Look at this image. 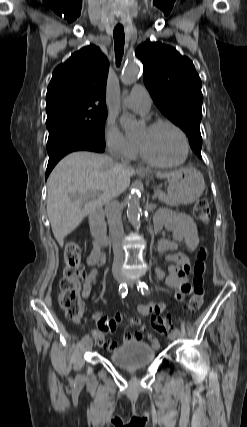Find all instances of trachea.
Returning <instances> with one entry per match:
<instances>
[{
  "label": "trachea",
  "mask_w": 247,
  "mask_h": 427,
  "mask_svg": "<svg viewBox=\"0 0 247 427\" xmlns=\"http://www.w3.org/2000/svg\"><path fill=\"white\" fill-rule=\"evenodd\" d=\"M114 43H115V54L117 64L120 63L123 52H124V42H125V34L123 26H116L114 28Z\"/></svg>",
  "instance_id": "trachea-1"
}]
</instances>
